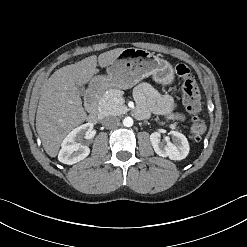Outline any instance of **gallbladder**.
<instances>
[{
	"label": "gallbladder",
	"instance_id": "bac80fb5",
	"mask_svg": "<svg viewBox=\"0 0 247 247\" xmlns=\"http://www.w3.org/2000/svg\"><path fill=\"white\" fill-rule=\"evenodd\" d=\"M76 88L79 95L83 96L85 94V87L83 85H77Z\"/></svg>",
	"mask_w": 247,
	"mask_h": 247
}]
</instances>
